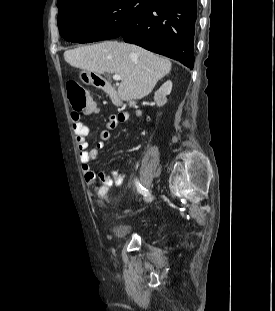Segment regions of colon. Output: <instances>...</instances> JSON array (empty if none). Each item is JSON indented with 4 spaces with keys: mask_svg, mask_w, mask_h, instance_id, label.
<instances>
[{
    "mask_svg": "<svg viewBox=\"0 0 275 311\" xmlns=\"http://www.w3.org/2000/svg\"><path fill=\"white\" fill-rule=\"evenodd\" d=\"M67 94L71 103V106L75 112H82L89 108L90 112L94 111L93 102L88 97V93L85 88L79 85L77 82L70 81L66 85ZM111 183H100L99 189L94 191L95 197H107L109 194L107 190H111Z\"/></svg>",
    "mask_w": 275,
    "mask_h": 311,
    "instance_id": "1",
    "label": "colon"
}]
</instances>
